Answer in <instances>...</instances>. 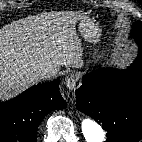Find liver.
Masks as SVG:
<instances>
[{"label": "liver", "mask_w": 142, "mask_h": 142, "mask_svg": "<svg viewBox=\"0 0 142 142\" xmlns=\"http://www.w3.org/2000/svg\"><path fill=\"white\" fill-rule=\"evenodd\" d=\"M77 12L42 13L0 29V98L36 84V71L79 66L81 45L74 28Z\"/></svg>", "instance_id": "1"}]
</instances>
